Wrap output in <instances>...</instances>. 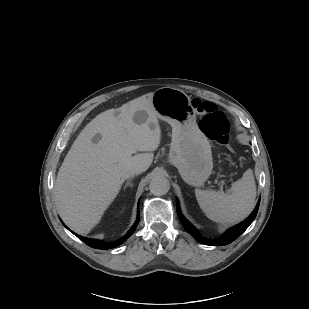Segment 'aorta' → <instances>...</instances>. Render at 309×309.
<instances>
[{"label":"aorta","mask_w":309,"mask_h":309,"mask_svg":"<svg viewBox=\"0 0 309 309\" xmlns=\"http://www.w3.org/2000/svg\"><path fill=\"white\" fill-rule=\"evenodd\" d=\"M149 189L153 195L162 196V195H165L169 191L170 184L166 178L162 176H155L150 181Z\"/></svg>","instance_id":"1"}]
</instances>
